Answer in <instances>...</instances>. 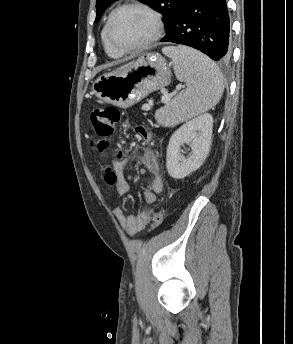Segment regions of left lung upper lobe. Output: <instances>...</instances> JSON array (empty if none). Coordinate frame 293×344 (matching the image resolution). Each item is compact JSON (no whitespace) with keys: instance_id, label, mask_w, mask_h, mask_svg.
I'll return each instance as SVG.
<instances>
[{"instance_id":"5c2ea615","label":"left lung upper lobe","mask_w":293,"mask_h":344,"mask_svg":"<svg viewBox=\"0 0 293 344\" xmlns=\"http://www.w3.org/2000/svg\"><path fill=\"white\" fill-rule=\"evenodd\" d=\"M116 0H96V19L97 22L104 10L109 7ZM140 2L149 5L151 8L159 11L164 19L165 29L168 32L173 26L177 17L180 6L183 0H139Z\"/></svg>"}]
</instances>
